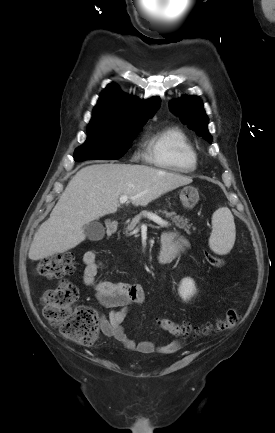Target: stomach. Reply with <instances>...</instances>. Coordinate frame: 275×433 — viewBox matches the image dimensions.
<instances>
[{"instance_id":"0dacf381","label":"stomach","mask_w":275,"mask_h":433,"mask_svg":"<svg viewBox=\"0 0 275 433\" xmlns=\"http://www.w3.org/2000/svg\"><path fill=\"white\" fill-rule=\"evenodd\" d=\"M180 200L185 208L192 209L199 201L198 190L192 186H186L180 191Z\"/></svg>"}]
</instances>
